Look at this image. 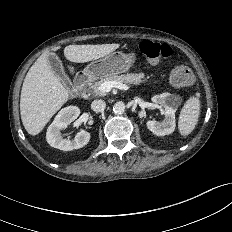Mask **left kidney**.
I'll use <instances>...</instances> for the list:
<instances>
[{"mask_svg":"<svg viewBox=\"0 0 232 232\" xmlns=\"http://www.w3.org/2000/svg\"><path fill=\"white\" fill-rule=\"evenodd\" d=\"M152 102L164 108L165 119L162 122L149 120L147 128L157 136L171 134L175 130V112L180 102V98L170 93L155 95L151 98Z\"/></svg>","mask_w":232,"mask_h":232,"instance_id":"5707ae66","label":"left kidney"}]
</instances>
